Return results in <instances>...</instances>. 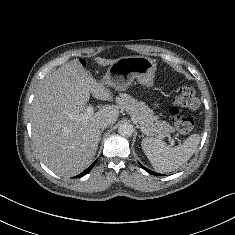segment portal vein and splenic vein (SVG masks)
<instances>
[{"instance_id": "obj_1", "label": "portal vein and splenic vein", "mask_w": 235, "mask_h": 235, "mask_svg": "<svg viewBox=\"0 0 235 235\" xmlns=\"http://www.w3.org/2000/svg\"><path fill=\"white\" fill-rule=\"evenodd\" d=\"M93 113H94V108L92 106H89L86 108L85 115H71L70 118L74 119V120H83L85 118H88V116H91ZM139 128L144 134L150 135L144 127L139 126ZM161 137H164V136H161ZM165 137L169 138L170 146H173L175 144V141H174V139L171 138V136L165 135Z\"/></svg>"}]
</instances>
